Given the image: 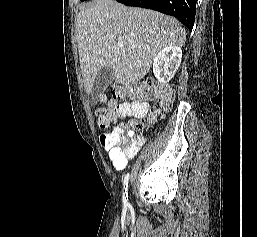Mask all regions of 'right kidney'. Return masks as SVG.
<instances>
[{
    "instance_id": "ca27d5eb",
    "label": "right kidney",
    "mask_w": 257,
    "mask_h": 237,
    "mask_svg": "<svg viewBox=\"0 0 257 237\" xmlns=\"http://www.w3.org/2000/svg\"><path fill=\"white\" fill-rule=\"evenodd\" d=\"M182 59V49L178 46H167L153 59V73L157 80L168 83L180 66Z\"/></svg>"
}]
</instances>
